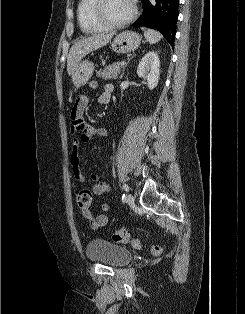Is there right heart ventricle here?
Here are the masks:
<instances>
[{
	"label": "right heart ventricle",
	"mask_w": 245,
	"mask_h": 314,
	"mask_svg": "<svg viewBox=\"0 0 245 314\" xmlns=\"http://www.w3.org/2000/svg\"><path fill=\"white\" fill-rule=\"evenodd\" d=\"M95 0H80L77 8V18L83 32L92 34L107 30L93 16Z\"/></svg>",
	"instance_id": "1"
}]
</instances>
